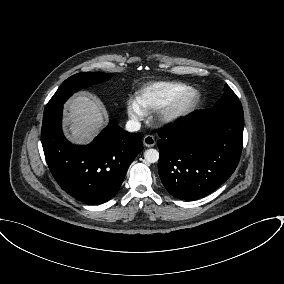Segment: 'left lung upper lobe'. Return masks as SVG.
I'll list each match as a JSON object with an SVG mask.
<instances>
[{
    "instance_id": "obj_1",
    "label": "left lung upper lobe",
    "mask_w": 284,
    "mask_h": 284,
    "mask_svg": "<svg viewBox=\"0 0 284 284\" xmlns=\"http://www.w3.org/2000/svg\"><path fill=\"white\" fill-rule=\"evenodd\" d=\"M214 107H227L237 110H243L238 97L227 84L224 87L223 96L216 102Z\"/></svg>"
}]
</instances>
